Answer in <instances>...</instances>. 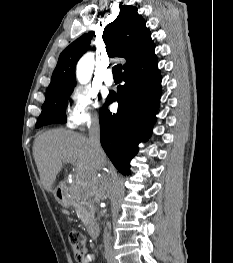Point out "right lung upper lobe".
Here are the masks:
<instances>
[{"label": "right lung upper lobe", "instance_id": "obj_1", "mask_svg": "<svg viewBox=\"0 0 233 263\" xmlns=\"http://www.w3.org/2000/svg\"><path fill=\"white\" fill-rule=\"evenodd\" d=\"M92 35L84 34L72 42L59 56L46 96L75 86V66L89 47ZM103 40L109 57H123L124 71L154 61L155 45L146 28L145 20L133 6H120L117 18L103 32Z\"/></svg>", "mask_w": 233, "mask_h": 263}]
</instances>
